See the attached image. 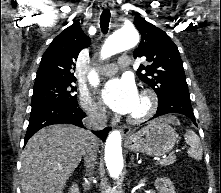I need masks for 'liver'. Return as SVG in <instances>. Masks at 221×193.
<instances>
[{
    "label": "liver",
    "instance_id": "liver-1",
    "mask_svg": "<svg viewBox=\"0 0 221 193\" xmlns=\"http://www.w3.org/2000/svg\"><path fill=\"white\" fill-rule=\"evenodd\" d=\"M167 123L179 124L173 117ZM90 141L87 131L68 124L39 130L27 142L21 156L22 193H63ZM96 147L99 145L94 139Z\"/></svg>",
    "mask_w": 221,
    "mask_h": 193
}]
</instances>
